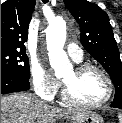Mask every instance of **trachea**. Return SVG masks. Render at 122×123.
Listing matches in <instances>:
<instances>
[{"label":"trachea","instance_id":"trachea-1","mask_svg":"<svg viewBox=\"0 0 122 123\" xmlns=\"http://www.w3.org/2000/svg\"><path fill=\"white\" fill-rule=\"evenodd\" d=\"M43 2H44V3H47V2H48V0H43Z\"/></svg>","mask_w":122,"mask_h":123}]
</instances>
